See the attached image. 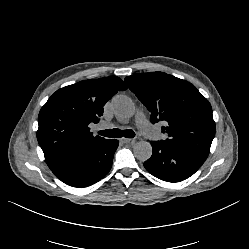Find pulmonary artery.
I'll use <instances>...</instances> for the list:
<instances>
[{"instance_id":"pulmonary-artery-1","label":"pulmonary artery","mask_w":249,"mask_h":249,"mask_svg":"<svg viewBox=\"0 0 249 249\" xmlns=\"http://www.w3.org/2000/svg\"><path fill=\"white\" fill-rule=\"evenodd\" d=\"M135 123L136 126L142 130L147 124H148V120L145 116V114L142 111H138L135 117ZM111 127V124L105 121H102L100 123L97 124V130H105Z\"/></svg>"}]
</instances>
